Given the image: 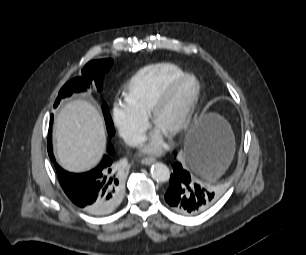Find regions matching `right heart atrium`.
<instances>
[{"label":"right heart atrium","mask_w":306,"mask_h":255,"mask_svg":"<svg viewBox=\"0 0 306 255\" xmlns=\"http://www.w3.org/2000/svg\"><path fill=\"white\" fill-rule=\"evenodd\" d=\"M112 120L120 136L131 146L144 139L146 117L136 111L126 100H116L112 105Z\"/></svg>","instance_id":"1"}]
</instances>
